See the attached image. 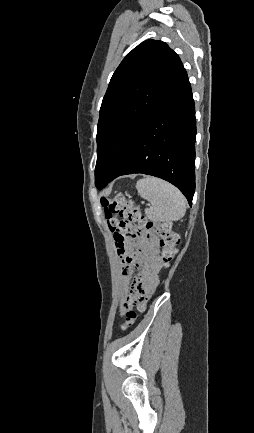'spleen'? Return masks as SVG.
<instances>
[{"label": "spleen", "instance_id": "obj_1", "mask_svg": "<svg viewBox=\"0 0 254 433\" xmlns=\"http://www.w3.org/2000/svg\"><path fill=\"white\" fill-rule=\"evenodd\" d=\"M138 194L152 205L145 209L148 219L154 222H170L181 219L186 212V200L172 184L146 177L137 181Z\"/></svg>", "mask_w": 254, "mask_h": 433}]
</instances>
